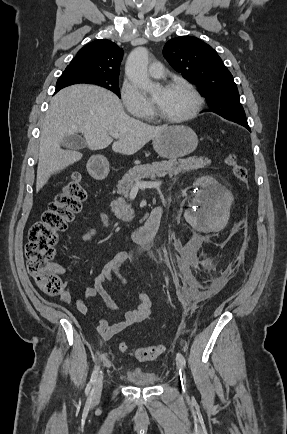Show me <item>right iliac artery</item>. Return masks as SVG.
<instances>
[{
	"mask_svg": "<svg viewBox=\"0 0 287 434\" xmlns=\"http://www.w3.org/2000/svg\"><path fill=\"white\" fill-rule=\"evenodd\" d=\"M99 371H100V366H97L92 373V376H91L89 383L87 384V387H86L87 394L90 392L91 387L95 384L97 377H98V374H99ZM93 391H94V388H92V390L90 392V397L93 395Z\"/></svg>",
	"mask_w": 287,
	"mask_h": 434,
	"instance_id": "right-iliac-artery-1",
	"label": "right iliac artery"
}]
</instances>
